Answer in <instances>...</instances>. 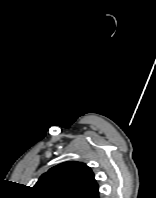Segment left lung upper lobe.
<instances>
[{"instance_id":"obj_1","label":"left lung upper lobe","mask_w":156,"mask_h":198,"mask_svg":"<svg viewBox=\"0 0 156 198\" xmlns=\"http://www.w3.org/2000/svg\"><path fill=\"white\" fill-rule=\"evenodd\" d=\"M33 189L38 198H99L93 172L80 162H64L51 168Z\"/></svg>"}]
</instances>
